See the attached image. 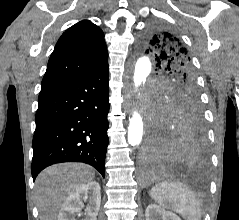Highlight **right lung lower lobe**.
<instances>
[{
  "mask_svg": "<svg viewBox=\"0 0 239 220\" xmlns=\"http://www.w3.org/2000/svg\"><path fill=\"white\" fill-rule=\"evenodd\" d=\"M108 63L81 78L42 88L33 137L32 176L49 165L83 162L105 175Z\"/></svg>",
  "mask_w": 239,
  "mask_h": 220,
  "instance_id": "98d812e1",
  "label": "right lung lower lobe"
}]
</instances>
